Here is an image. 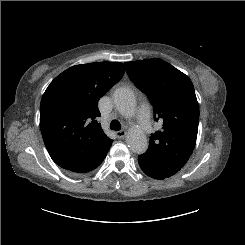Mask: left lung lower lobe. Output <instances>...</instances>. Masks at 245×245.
Masks as SVG:
<instances>
[{"label": "left lung lower lobe", "instance_id": "obj_1", "mask_svg": "<svg viewBox=\"0 0 245 245\" xmlns=\"http://www.w3.org/2000/svg\"><path fill=\"white\" fill-rule=\"evenodd\" d=\"M138 163L146 175L155 179L170 177L182 168V166L167 157L150 152L139 155Z\"/></svg>", "mask_w": 245, "mask_h": 245}]
</instances>
